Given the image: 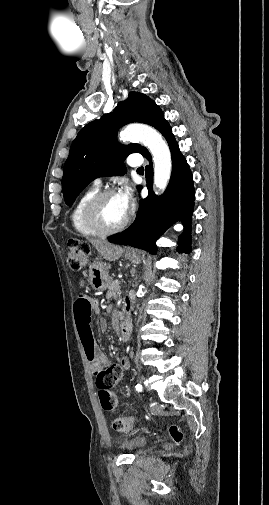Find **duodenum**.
<instances>
[{"label":"duodenum","instance_id":"1","mask_svg":"<svg viewBox=\"0 0 269 505\" xmlns=\"http://www.w3.org/2000/svg\"><path fill=\"white\" fill-rule=\"evenodd\" d=\"M131 326V320L128 316L121 319L119 324V339L121 341H127L129 339Z\"/></svg>","mask_w":269,"mask_h":505}]
</instances>
